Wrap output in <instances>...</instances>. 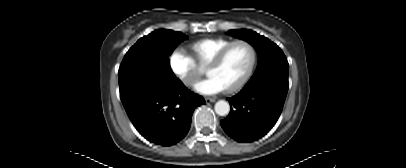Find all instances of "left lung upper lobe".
I'll return each mask as SVG.
<instances>
[{
	"mask_svg": "<svg viewBox=\"0 0 406 168\" xmlns=\"http://www.w3.org/2000/svg\"><path fill=\"white\" fill-rule=\"evenodd\" d=\"M229 34L249 42L258 52L257 69L249 82L262 79L288 81L289 64L276 44L252 30H230Z\"/></svg>",
	"mask_w": 406,
	"mask_h": 168,
	"instance_id": "1",
	"label": "left lung upper lobe"
}]
</instances>
